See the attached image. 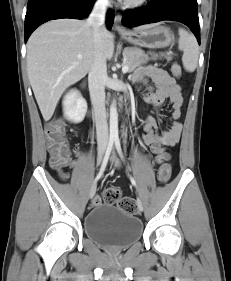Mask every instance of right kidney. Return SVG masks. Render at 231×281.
<instances>
[{
	"instance_id": "ca27d5eb",
	"label": "right kidney",
	"mask_w": 231,
	"mask_h": 281,
	"mask_svg": "<svg viewBox=\"0 0 231 281\" xmlns=\"http://www.w3.org/2000/svg\"><path fill=\"white\" fill-rule=\"evenodd\" d=\"M65 117L74 123L81 122L87 112V102L76 89L70 90L63 99Z\"/></svg>"
}]
</instances>
